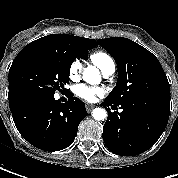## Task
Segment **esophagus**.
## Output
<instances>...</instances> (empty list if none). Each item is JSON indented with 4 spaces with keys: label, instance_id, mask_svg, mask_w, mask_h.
<instances>
[{
    "label": "esophagus",
    "instance_id": "34e87169",
    "mask_svg": "<svg viewBox=\"0 0 178 178\" xmlns=\"http://www.w3.org/2000/svg\"><path fill=\"white\" fill-rule=\"evenodd\" d=\"M95 107L93 104H86V110L87 112H91V110Z\"/></svg>",
    "mask_w": 178,
    "mask_h": 178
}]
</instances>
